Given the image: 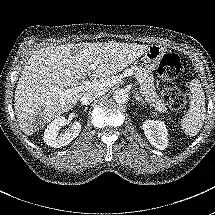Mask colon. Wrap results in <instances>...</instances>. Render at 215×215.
Listing matches in <instances>:
<instances>
[{
    "instance_id": "obj_1",
    "label": "colon",
    "mask_w": 215,
    "mask_h": 215,
    "mask_svg": "<svg viewBox=\"0 0 215 215\" xmlns=\"http://www.w3.org/2000/svg\"><path fill=\"white\" fill-rule=\"evenodd\" d=\"M181 69V61L177 54L167 53L163 56L158 67L161 85V98L172 109H185L187 101L185 95L176 88L164 87L165 80L175 79Z\"/></svg>"
}]
</instances>
